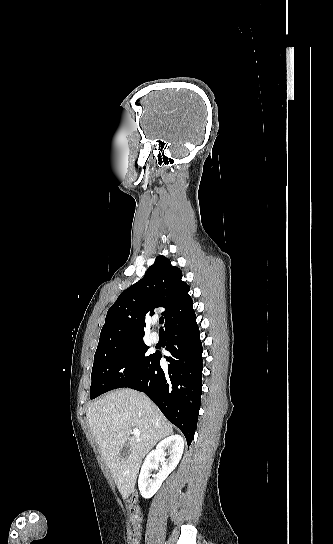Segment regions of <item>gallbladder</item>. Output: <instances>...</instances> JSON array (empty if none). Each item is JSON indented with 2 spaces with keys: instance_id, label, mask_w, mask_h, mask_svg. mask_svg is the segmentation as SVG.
Segmentation results:
<instances>
[{
  "instance_id": "1",
  "label": "gallbladder",
  "mask_w": 333,
  "mask_h": 544,
  "mask_svg": "<svg viewBox=\"0 0 333 544\" xmlns=\"http://www.w3.org/2000/svg\"><path fill=\"white\" fill-rule=\"evenodd\" d=\"M130 453V447L129 445L126 443L122 448H121V451L119 453V457L120 458H126Z\"/></svg>"
}]
</instances>
